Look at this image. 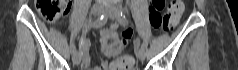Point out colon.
<instances>
[{
	"mask_svg": "<svg viewBox=\"0 0 238 70\" xmlns=\"http://www.w3.org/2000/svg\"><path fill=\"white\" fill-rule=\"evenodd\" d=\"M166 2L164 0H151L149 7V19L154 28H161L164 31L173 30L179 22L184 5L180 0L171 1L168 11L164 15L161 11ZM36 6L41 16L47 21H56L69 11L67 0H37ZM132 38V33L125 31L121 36V48H126V44ZM112 70H134V60L131 56H122L112 63Z\"/></svg>",
	"mask_w": 238,
	"mask_h": 70,
	"instance_id": "obj_1",
	"label": "colon"
}]
</instances>
